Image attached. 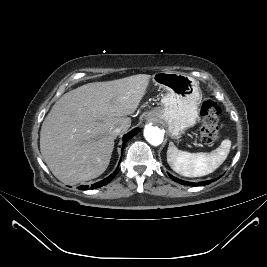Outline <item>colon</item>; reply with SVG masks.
Instances as JSON below:
<instances>
[{"instance_id": "1", "label": "colon", "mask_w": 267, "mask_h": 267, "mask_svg": "<svg viewBox=\"0 0 267 267\" xmlns=\"http://www.w3.org/2000/svg\"><path fill=\"white\" fill-rule=\"evenodd\" d=\"M203 123L200 128L201 140L206 144L214 143L219 137L218 117L220 108L212 99H205L201 105Z\"/></svg>"}]
</instances>
